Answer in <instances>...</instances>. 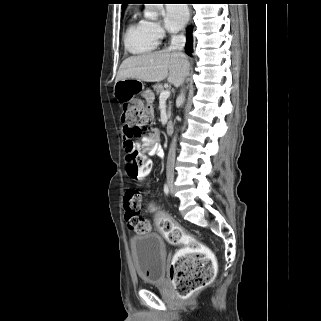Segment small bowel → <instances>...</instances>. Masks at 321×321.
Segmentation results:
<instances>
[{"instance_id": "c3829d8e", "label": "small bowel", "mask_w": 321, "mask_h": 321, "mask_svg": "<svg viewBox=\"0 0 321 321\" xmlns=\"http://www.w3.org/2000/svg\"><path fill=\"white\" fill-rule=\"evenodd\" d=\"M146 100L150 101L151 97L146 96ZM122 147L126 154L137 151L141 154H148L150 156H161L160 131L156 128L152 129L148 135L135 141L129 131L126 128H123Z\"/></svg>"}]
</instances>
